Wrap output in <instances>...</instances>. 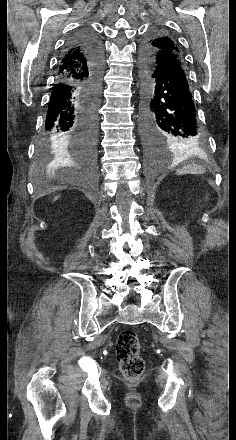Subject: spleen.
<instances>
[{"label": "spleen", "instance_id": "obj_1", "mask_svg": "<svg viewBox=\"0 0 236 440\" xmlns=\"http://www.w3.org/2000/svg\"><path fill=\"white\" fill-rule=\"evenodd\" d=\"M205 172V168L200 165L196 164H190L185 167H183L181 170H178V173H194V174H201Z\"/></svg>", "mask_w": 236, "mask_h": 440}]
</instances>
